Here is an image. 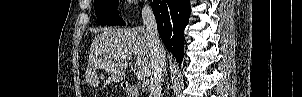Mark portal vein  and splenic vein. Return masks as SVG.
<instances>
[{"mask_svg":"<svg viewBox=\"0 0 302 97\" xmlns=\"http://www.w3.org/2000/svg\"><path fill=\"white\" fill-rule=\"evenodd\" d=\"M121 59H124L126 61H130L131 57H126V56L123 55V56H121ZM136 77H137L138 80L142 81V80L145 79V74H144L143 71H137L136 72Z\"/></svg>","mask_w":302,"mask_h":97,"instance_id":"18ae733b","label":"portal vein and splenic vein"}]
</instances>
